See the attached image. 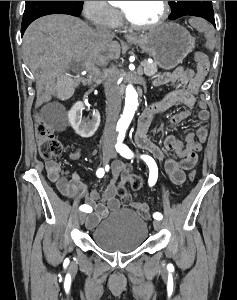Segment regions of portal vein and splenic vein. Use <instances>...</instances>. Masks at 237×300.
I'll list each match as a JSON object with an SVG mask.
<instances>
[{
    "mask_svg": "<svg viewBox=\"0 0 237 300\" xmlns=\"http://www.w3.org/2000/svg\"><path fill=\"white\" fill-rule=\"evenodd\" d=\"M142 67L145 69L147 66H146V61L144 60L142 63Z\"/></svg>",
    "mask_w": 237,
    "mask_h": 300,
    "instance_id": "1",
    "label": "portal vein and splenic vein"
}]
</instances>
